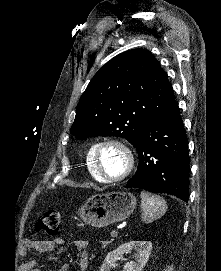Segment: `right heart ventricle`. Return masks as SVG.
I'll use <instances>...</instances> for the list:
<instances>
[{
    "label": "right heart ventricle",
    "mask_w": 221,
    "mask_h": 271,
    "mask_svg": "<svg viewBox=\"0 0 221 271\" xmlns=\"http://www.w3.org/2000/svg\"><path fill=\"white\" fill-rule=\"evenodd\" d=\"M93 142H90L91 144L89 148L86 147V159L87 163H89V166L87 167L88 175L91 176V179H96V183H107V178H102V174H99L97 171V167H100V162H98V158H93V152H96V147L92 145Z\"/></svg>",
    "instance_id": "obj_1"
}]
</instances>
